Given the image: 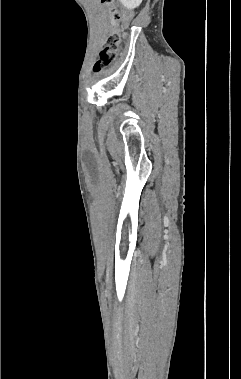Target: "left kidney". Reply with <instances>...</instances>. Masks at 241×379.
Segmentation results:
<instances>
[{
  "label": "left kidney",
  "instance_id": "obj_1",
  "mask_svg": "<svg viewBox=\"0 0 241 379\" xmlns=\"http://www.w3.org/2000/svg\"><path fill=\"white\" fill-rule=\"evenodd\" d=\"M120 2L127 9H134L141 4L142 0H120Z\"/></svg>",
  "mask_w": 241,
  "mask_h": 379
}]
</instances>
